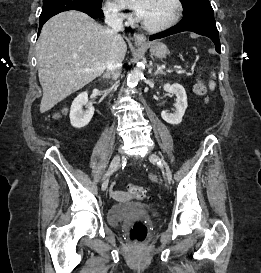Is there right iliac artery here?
I'll return each instance as SVG.
<instances>
[{
    "instance_id": "right-iliac-artery-1",
    "label": "right iliac artery",
    "mask_w": 261,
    "mask_h": 273,
    "mask_svg": "<svg viewBox=\"0 0 261 273\" xmlns=\"http://www.w3.org/2000/svg\"><path fill=\"white\" fill-rule=\"evenodd\" d=\"M108 175V172L105 174V176H107Z\"/></svg>"
}]
</instances>
